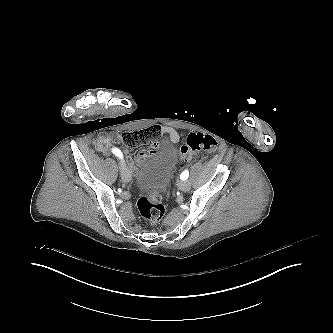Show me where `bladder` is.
Returning <instances> with one entry per match:
<instances>
[{"instance_id":"obj_1","label":"bladder","mask_w":333,"mask_h":333,"mask_svg":"<svg viewBox=\"0 0 333 333\" xmlns=\"http://www.w3.org/2000/svg\"><path fill=\"white\" fill-rule=\"evenodd\" d=\"M177 145L170 143L153 150L144 167L137 174V189L146 195H161L169 188L177 163Z\"/></svg>"}]
</instances>
